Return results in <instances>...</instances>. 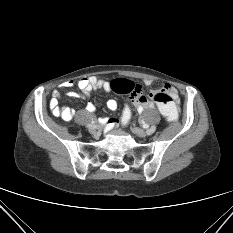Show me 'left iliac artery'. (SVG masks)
I'll use <instances>...</instances> for the list:
<instances>
[{"instance_id": "44dca946", "label": "left iliac artery", "mask_w": 233, "mask_h": 233, "mask_svg": "<svg viewBox=\"0 0 233 233\" xmlns=\"http://www.w3.org/2000/svg\"><path fill=\"white\" fill-rule=\"evenodd\" d=\"M152 132H156V126L153 124L151 128L147 131L148 134H151Z\"/></svg>"}]
</instances>
